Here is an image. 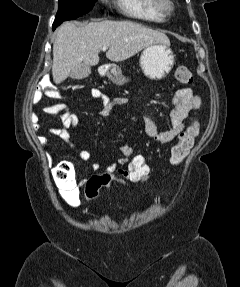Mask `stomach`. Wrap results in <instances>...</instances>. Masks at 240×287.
Masks as SVG:
<instances>
[{"mask_svg": "<svg viewBox=\"0 0 240 287\" xmlns=\"http://www.w3.org/2000/svg\"><path fill=\"white\" fill-rule=\"evenodd\" d=\"M175 62V56L169 44L155 43L144 48L140 56V66L143 73L151 80H161L166 77ZM107 77L118 85L126 82L122 70L117 65L107 69Z\"/></svg>", "mask_w": 240, "mask_h": 287, "instance_id": "0dacf381", "label": "stomach"}]
</instances>
